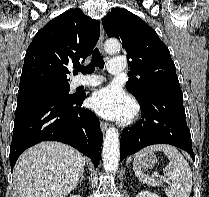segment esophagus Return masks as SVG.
Returning a JSON list of instances; mask_svg holds the SVG:
<instances>
[{
	"label": "esophagus",
	"mask_w": 209,
	"mask_h": 197,
	"mask_svg": "<svg viewBox=\"0 0 209 197\" xmlns=\"http://www.w3.org/2000/svg\"><path fill=\"white\" fill-rule=\"evenodd\" d=\"M103 45H104V32H103V28L101 26L100 27V36H99V40H98V47L102 53H104ZM100 127H101L102 132L105 133V131L108 129V124L106 122L101 121Z\"/></svg>",
	"instance_id": "1"
}]
</instances>
